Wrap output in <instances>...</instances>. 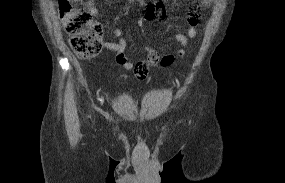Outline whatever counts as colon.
<instances>
[{
  "label": "colon",
  "instance_id": "colon-1",
  "mask_svg": "<svg viewBox=\"0 0 285 183\" xmlns=\"http://www.w3.org/2000/svg\"><path fill=\"white\" fill-rule=\"evenodd\" d=\"M76 2L79 0H58L59 16L64 29L71 35L74 52L81 58H92L101 51L103 30L90 12L78 7ZM134 72L139 79L147 74L144 65H137Z\"/></svg>",
  "mask_w": 285,
  "mask_h": 183
}]
</instances>
